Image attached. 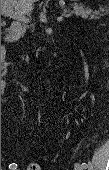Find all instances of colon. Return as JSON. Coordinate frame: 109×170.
<instances>
[{"label": "colon", "mask_w": 109, "mask_h": 170, "mask_svg": "<svg viewBox=\"0 0 109 170\" xmlns=\"http://www.w3.org/2000/svg\"><path fill=\"white\" fill-rule=\"evenodd\" d=\"M27 170H42V168L39 164H31V165H29Z\"/></svg>", "instance_id": "5ec220e1"}]
</instances>
